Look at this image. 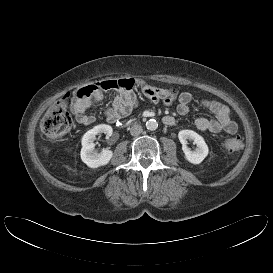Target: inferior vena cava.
Masks as SVG:
<instances>
[{
	"mask_svg": "<svg viewBox=\"0 0 273 273\" xmlns=\"http://www.w3.org/2000/svg\"><path fill=\"white\" fill-rule=\"evenodd\" d=\"M143 131L142 126L140 124H134L130 128V134L132 136H138Z\"/></svg>",
	"mask_w": 273,
	"mask_h": 273,
	"instance_id": "obj_1",
	"label": "inferior vena cava"
}]
</instances>
